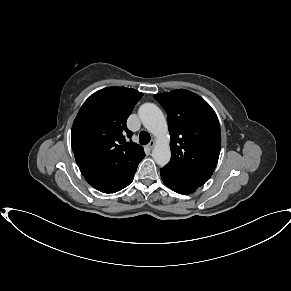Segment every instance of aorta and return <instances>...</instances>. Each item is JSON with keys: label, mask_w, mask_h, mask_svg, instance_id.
<instances>
[{"label": "aorta", "mask_w": 291, "mask_h": 291, "mask_svg": "<svg viewBox=\"0 0 291 291\" xmlns=\"http://www.w3.org/2000/svg\"><path fill=\"white\" fill-rule=\"evenodd\" d=\"M144 127L156 137L152 157L159 166H165L171 158L169 134L161 109L153 103H144L138 110Z\"/></svg>", "instance_id": "aorta-1"}]
</instances>
